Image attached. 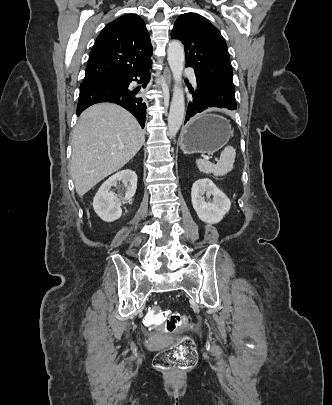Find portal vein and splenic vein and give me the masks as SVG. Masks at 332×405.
<instances>
[{"label": "portal vein and splenic vein", "mask_w": 332, "mask_h": 405, "mask_svg": "<svg viewBox=\"0 0 332 405\" xmlns=\"http://www.w3.org/2000/svg\"><path fill=\"white\" fill-rule=\"evenodd\" d=\"M205 159H206V160H209L210 158H209V157H205Z\"/></svg>", "instance_id": "18ae733b"}]
</instances>
